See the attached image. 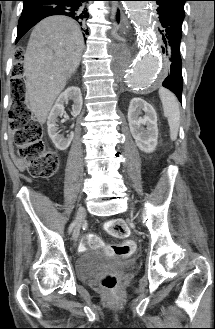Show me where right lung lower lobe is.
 <instances>
[{"label":"right lung lower lobe","mask_w":215,"mask_h":329,"mask_svg":"<svg viewBox=\"0 0 215 329\" xmlns=\"http://www.w3.org/2000/svg\"><path fill=\"white\" fill-rule=\"evenodd\" d=\"M23 10L18 22L16 43L40 20L52 15H66L75 19L84 35H88L86 21L89 18L85 3L90 0H22ZM119 20V12L117 13ZM86 39V38H85Z\"/></svg>","instance_id":"right-lung-lower-lobe-1"}]
</instances>
